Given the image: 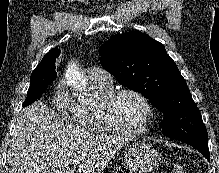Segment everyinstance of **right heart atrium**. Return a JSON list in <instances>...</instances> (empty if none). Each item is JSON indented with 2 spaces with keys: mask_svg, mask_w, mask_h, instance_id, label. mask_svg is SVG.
<instances>
[{
  "mask_svg": "<svg viewBox=\"0 0 219 173\" xmlns=\"http://www.w3.org/2000/svg\"><path fill=\"white\" fill-rule=\"evenodd\" d=\"M52 104L60 113L76 118V104L63 81H59L54 88Z\"/></svg>",
  "mask_w": 219,
  "mask_h": 173,
  "instance_id": "right-heart-atrium-1",
  "label": "right heart atrium"
}]
</instances>
